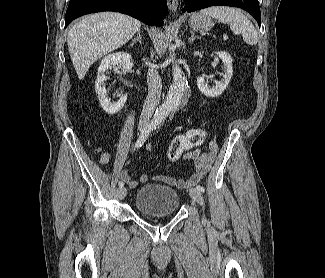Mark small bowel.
<instances>
[{
    "instance_id": "obj_1",
    "label": "small bowel",
    "mask_w": 325,
    "mask_h": 278,
    "mask_svg": "<svg viewBox=\"0 0 325 278\" xmlns=\"http://www.w3.org/2000/svg\"><path fill=\"white\" fill-rule=\"evenodd\" d=\"M191 130V129H190ZM190 130L183 133L188 135ZM204 145V142L192 148L193 150L185 153L182 157L184 162L191 163L195 170V173L192 174L187 180H178L172 177L163 176L160 179L168 184L177 186V187H188L194 186L197 184L200 179L209 171L212 164L215 161L216 155L218 153V145L215 140H211L205 144L206 150H203L201 147ZM146 150H151V145L146 144ZM109 160L108 153H103L100 157V162L106 164ZM120 178L126 182L129 187L134 188L138 185V181L131 179L126 168L120 170ZM149 179L147 174H142L139 178V182H147Z\"/></svg>"
}]
</instances>
